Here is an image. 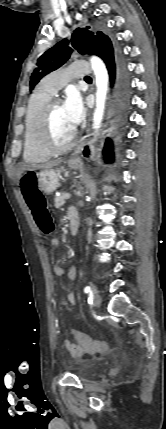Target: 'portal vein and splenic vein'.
I'll use <instances>...</instances> for the list:
<instances>
[{
  "mask_svg": "<svg viewBox=\"0 0 166 429\" xmlns=\"http://www.w3.org/2000/svg\"><path fill=\"white\" fill-rule=\"evenodd\" d=\"M70 197H71V194H70V193L65 194V198H66V199H70Z\"/></svg>",
  "mask_w": 166,
  "mask_h": 429,
  "instance_id": "portal-vein-and-splenic-vein-1",
  "label": "portal vein and splenic vein"
}]
</instances>
